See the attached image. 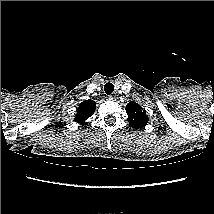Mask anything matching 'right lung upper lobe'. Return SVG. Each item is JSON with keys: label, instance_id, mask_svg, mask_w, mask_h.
I'll use <instances>...</instances> for the list:
<instances>
[{"label": "right lung upper lobe", "instance_id": "1", "mask_svg": "<svg viewBox=\"0 0 214 214\" xmlns=\"http://www.w3.org/2000/svg\"><path fill=\"white\" fill-rule=\"evenodd\" d=\"M96 108V102L92 100H85L80 103L77 114L74 119V121L80 123V124H86V120L91 117L95 111Z\"/></svg>", "mask_w": 214, "mask_h": 214}]
</instances>
